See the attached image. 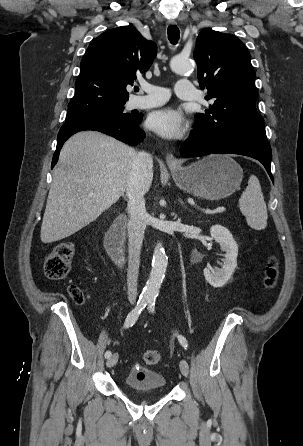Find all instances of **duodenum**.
I'll return each mask as SVG.
<instances>
[{
	"instance_id": "obj_1",
	"label": "duodenum",
	"mask_w": 303,
	"mask_h": 446,
	"mask_svg": "<svg viewBox=\"0 0 303 446\" xmlns=\"http://www.w3.org/2000/svg\"><path fill=\"white\" fill-rule=\"evenodd\" d=\"M127 218L124 215L119 216L112 224L105 236V247L110 257L117 263H122L123 239Z\"/></svg>"
}]
</instances>
